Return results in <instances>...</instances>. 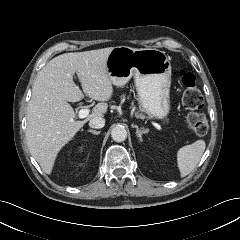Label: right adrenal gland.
I'll return each instance as SVG.
<instances>
[{"instance_id":"2a0ac1e0","label":"right adrenal gland","mask_w":240,"mask_h":240,"mask_svg":"<svg viewBox=\"0 0 240 240\" xmlns=\"http://www.w3.org/2000/svg\"><path fill=\"white\" fill-rule=\"evenodd\" d=\"M88 132L94 134V135H98L100 134V131H96V130H92V129H89Z\"/></svg>"}]
</instances>
